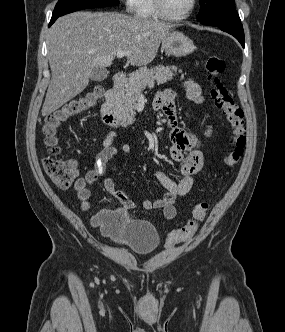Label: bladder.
<instances>
[{
    "label": "bladder",
    "instance_id": "obj_1",
    "mask_svg": "<svg viewBox=\"0 0 285 332\" xmlns=\"http://www.w3.org/2000/svg\"><path fill=\"white\" fill-rule=\"evenodd\" d=\"M100 230L115 244L139 256L154 252L161 241L159 231L151 222L134 219L124 210L107 212Z\"/></svg>",
    "mask_w": 285,
    "mask_h": 332
}]
</instances>
